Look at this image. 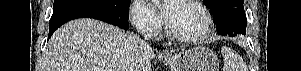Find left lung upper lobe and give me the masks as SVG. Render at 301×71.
Instances as JSON below:
<instances>
[{"mask_svg":"<svg viewBox=\"0 0 301 71\" xmlns=\"http://www.w3.org/2000/svg\"><path fill=\"white\" fill-rule=\"evenodd\" d=\"M204 2L210 8L213 17L220 15L225 8H244L243 0H204Z\"/></svg>","mask_w":301,"mask_h":71,"instance_id":"left-lung-upper-lobe-1","label":"left lung upper lobe"}]
</instances>
